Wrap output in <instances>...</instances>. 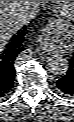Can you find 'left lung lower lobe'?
<instances>
[{
    "mask_svg": "<svg viewBox=\"0 0 74 122\" xmlns=\"http://www.w3.org/2000/svg\"><path fill=\"white\" fill-rule=\"evenodd\" d=\"M56 89L61 94L74 96V55L70 60L68 72L56 82Z\"/></svg>",
    "mask_w": 74,
    "mask_h": 122,
    "instance_id": "1",
    "label": "left lung lower lobe"
}]
</instances>
